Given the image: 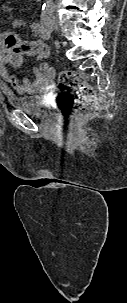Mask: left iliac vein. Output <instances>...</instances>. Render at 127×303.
Listing matches in <instances>:
<instances>
[{"instance_id": "left-iliac-vein-1", "label": "left iliac vein", "mask_w": 127, "mask_h": 303, "mask_svg": "<svg viewBox=\"0 0 127 303\" xmlns=\"http://www.w3.org/2000/svg\"><path fill=\"white\" fill-rule=\"evenodd\" d=\"M56 26H57V20H56V19H53V20L51 21V27L54 29Z\"/></svg>"}]
</instances>
